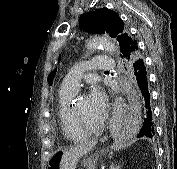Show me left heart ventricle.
<instances>
[{"label":"left heart ventricle","instance_id":"obj_1","mask_svg":"<svg viewBox=\"0 0 177 169\" xmlns=\"http://www.w3.org/2000/svg\"><path fill=\"white\" fill-rule=\"evenodd\" d=\"M76 107L86 123L94 125L101 122L104 111L97 109L87 95H82L78 98Z\"/></svg>","mask_w":177,"mask_h":169}]
</instances>
